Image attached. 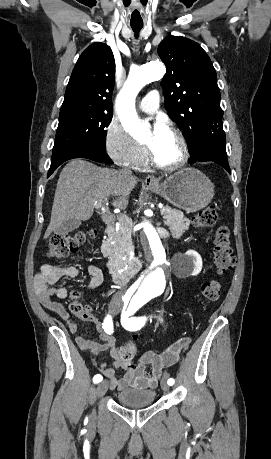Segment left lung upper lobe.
<instances>
[{"label":"left lung upper lobe","instance_id":"left-lung-upper-lobe-1","mask_svg":"<svg viewBox=\"0 0 271 459\" xmlns=\"http://www.w3.org/2000/svg\"><path fill=\"white\" fill-rule=\"evenodd\" d=\"M158 54L167 67L162 80L165 107L193 159L202 150L203 134L223 122L216 71L201 46L185 37L169 35Z\"/></svg>","mask_w":271,"mask_h":459}]
</instances>
